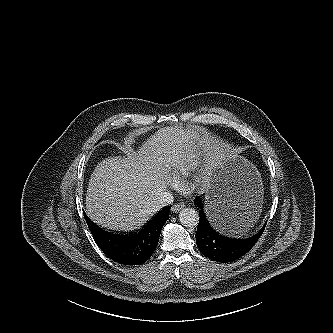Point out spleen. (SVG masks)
<instances>
[{
  "label": "spleen",
  "instance_id": "3e777b00",
  "mask_svg": "<svg viewBox=\"0 0 333 333\" xmlns=\"http://www.w3.org/2000/svg\"><path fill=\"white\" fill-rule=\"evenodd\" d=\"M261 212V211H260ZM260 213H257V209L249 210L246 215L240 219L232 221L226 231L229 235H241L258 220Z\"/></svg>",
  "mask_w": 333,
  "mask_h": 333
}]
</instances>
